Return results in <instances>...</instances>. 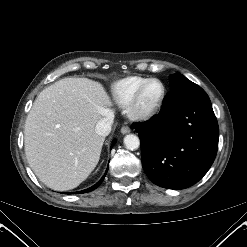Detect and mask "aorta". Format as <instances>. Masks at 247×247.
Wrapping results in <instances>:
<instances>
[{"label":"aorta","mask_w":247,"mask_h":247,"mask_svg":"<svg viewBox=\"0 0 247 247\" xmlns=\"http://www.w3.org/2000/svg\"><path fill=\"white\" fill-rule=\"evenodd\" d=\"M124 144L129 150H136L140 146L139 138L134 134H129L124 137Z\"/></svg>","instance_id":"obj_1"}]
</instances>
